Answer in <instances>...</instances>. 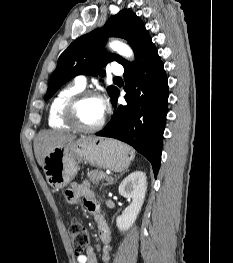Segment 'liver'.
Segmentation results:
<instances>
[{"mask_svg":"<svg viewBox=\"0 0 233 263\" xmlns=\"http://www.w3.org/2000/svg\"><path fill=\"white\" fill-rule=\"evenodd\" d=\"M75 138V135L61 131L43 130L39 132L34 140V153L38 164L43 167L44 157L51 149Z\"/></svg>","mask_w":233,"mask_h":263,"instance_id":"6515ba94","label":"liver"}]
</instances>
